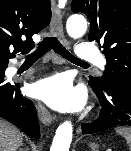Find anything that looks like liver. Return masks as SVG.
I'll return each mask as SVG.
<instances>
[{"label":"liver","mask_w":131,"mask_h":151,"mask_svg":"<svg viewBox=\"0 0 131 151\" xmlns=\"http://www.w3.org/2000/svg\"><path fill=\"white\" fill-rule=\"evenodd\" d=\"M22 142L20 131L0 119V151H17Z\"/></svg>","instance_id":"obj_1"}]
</instances>
